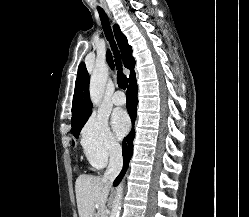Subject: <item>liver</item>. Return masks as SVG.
Returning a JSON list of instances; mask_svg holds the SVG:
<instances>
[{"instance_id":"6515ba94","label":"liver","mask_w":249,"mask_h":217,"mask_svg":"<svg viewBox=\"0 0 249 217\" xmlns=\"http://www.w3.org/2000/svg\"><path fill=\"white\" fill-rule=\"evenodd\" d=\"M109 190V183L99 176H78L75 192L79 217H104Z\"/></svg>"}]
</instances>
